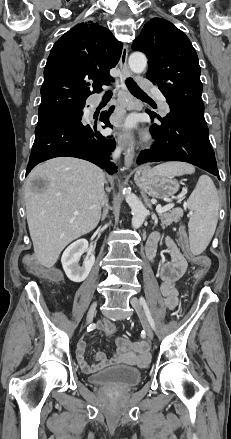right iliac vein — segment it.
Here are the masks:
<instances>
[{"label": "right iliac vein", "mask_w": 231, "mask_h": 439, "mask_svg": "<svg viewBox=\"0 0 231 439\" xmlns=\"http://www.w3.org/2000/svg\"><path fill=\"white\" fill-rule=\"evenodd\" d=\"M96 307H97V302H94L92 305H91V307H90V309H89V312H88V314H87V323L88 322H90L92 319H93V317H94V314H95V311H96Z\"/></svg>", "instance_id": "1"}]
</instances>
